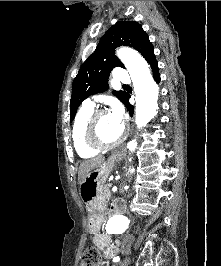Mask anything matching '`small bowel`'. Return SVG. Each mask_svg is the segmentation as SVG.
<instances>
[{
  "label": "small bowel",
  "mask_w": 221,
  "mask_h": 266,
  "mask_svg": "<svg viewBox=\"0 0 221 266\" xmlns=\"http://www.w3.org/2000/svg\"><path fill=\"white\" fill-rule=\"evenodd\" d=\"M94 243L101 250L104 259L113 258L118 252V247L113 243L111 236L105 233H97L94 235Z\"/></svg>",
  "instance_id": "obj_1"
}]
</instances>
